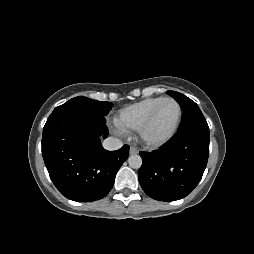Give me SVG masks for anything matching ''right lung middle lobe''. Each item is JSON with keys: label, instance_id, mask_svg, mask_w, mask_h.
Wrapping results in <instances>:
<instances>
[{"label": "right lung middle lobe", "instance_id": "dd1d6c3e", "mask_svg": "<svg viewBox=\"0 0 254 254\" xmlns=\"http://www.w3.org/2000/svg\"><path fill=\"white\" fill-rule=\"evenodd\" d=\"M112 106L113 104L110 102H101L97 100L88 99L83 96H78L56 107L54 111L75 110L88 114L106 116L107 113L111 110Z\"/></svg>", "mask_w": 254, "mask_h": 254}]
</instances>
